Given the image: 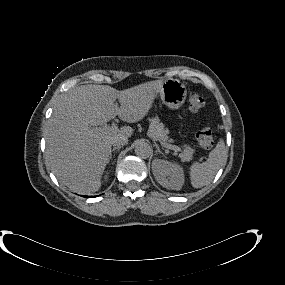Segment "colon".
<instances>
[{
  "label": "colon",
  "instance_id": "colon-1",
  "mask_svg": "<svg viewBox=\"0 0 285 285\" xmlns=\"http://www.w3.org/2000/svg\"><path fill=\"white\" fill-rule=\"evenodd\" d=\"M205 105V99L199 92H191L188 98L189 109L193 112L201 110ZM198 144L204 149H210L213 146L212 130L208 126L200 128L196 134Z\"/></svg>",
  "mask_w": 285,
  "mask_h": 285
}]
</instances>
